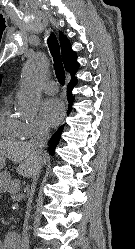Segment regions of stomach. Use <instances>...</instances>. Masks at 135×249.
Here are the masks:
<instances>
[{
	"instance_id": "stomach-1",
	"label": "stomach",
	"mask_w": 135,
	"mask_h": 249,
	"mask_svg": "<svg viewBox=\"0 0 135 249\" xmlns=\"http://www.w3.org/2000/svg\"><path fill=\"white\" fill-rule=\"evenodd\" d=\"M5 165V159L4 157H0V171L3 169ZM10 181L9 176L6 173L1 172L0 173V187L1 189L4 188Z\"/></svg>"
}]
</instances>
